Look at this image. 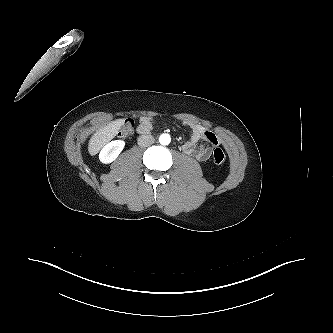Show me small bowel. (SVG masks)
<instances>
[{
    "mask_svg": "<svg viewBox=\"0 0 333 333\" xmlns=\"http://www.w3.org/2000/svg\"><path fill=\"white\" fill-rule=\"evenodd\" d=\"M187 126L192 131V137L183 145L184 152L198 161L208 160L211 155V147H217L219 145L217 136L203 126L193 123H187ZM153 127L154 122L152 118L146 117L141 120L138 132L140 134H148L153 130ZM200 140L204 141L206 145L198 147L197 143Z\"/></svg>",
    "mask_w": 333,
    "mask_h": 333,
    "instance_id": "small-bowel-1",
    "label": "small bowel"
}]
</instances>
